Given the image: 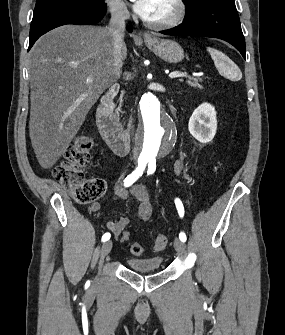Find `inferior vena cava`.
<instances>
[{
  "instance_id": "inferior-vena-cava-1",
  "label": "inferior vena cava",
  "mask_w": 285,
  "mask_h": 335,
  "mask_svg": "<svg viewBox=\"0 0 285 335\" xmlns=\"http://www.w3.org/2000/svg\"><path fill=\"white\" fill-rule=\"evenodd\" d=\"M109 12L111 14V20L109 22L108 30L111 32L114 40V68L116 72L123 66V60L121 56L122 48L125 44L123 42L125 32V20H129L130 14L121 0H110ZM132 120V118H131ZM130 120V122H131Z\"/></svg>"
}]
</instances>
